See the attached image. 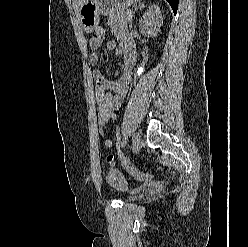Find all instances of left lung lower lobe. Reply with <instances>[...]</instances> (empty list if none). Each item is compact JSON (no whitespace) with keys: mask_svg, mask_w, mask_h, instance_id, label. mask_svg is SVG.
<instances>
[{"mask_svg":"<svg viewBox=\"0 0 248 247\" xmlns=\"http://www.w3.org/2000/svg\"><path fill=\"white\" fill-rule=\"evenodd\" d=\"M169 2V4L171 5L174 14H176L177 12V8H178V2L179 0H167Z\"/></svg>","mask_w":248,"mask_h":247,"instance_id":"left-lung-lower-lobe-1","label":"left lung lower lobe"}]
</instances>
